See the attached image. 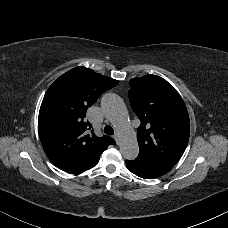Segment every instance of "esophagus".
<instances>
[{"label": "esophagus", "mask_w": 228, "mask_h": 228, "mask_svg": "<svg viewBox=\"0 0 228 228\" xmlns=\"http://www.w3.org/2000/svg\"><path fill=\"white\" fill-rule=\"evenodd\" d=\"M114 139L116 140V142H117V144L119 143V134L118 133H116L115 135H114Z\"/></svg>", "instance_id": "1"}]
</instances>
